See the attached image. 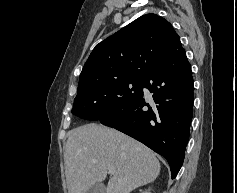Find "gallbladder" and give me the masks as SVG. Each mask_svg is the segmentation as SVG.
Segmentation results:
<instances>
[{"instance_id": "gallbladder-1", "label": "gallbladder", "mask_w": 237, "mask_h": 193, "mask_svg": "<svg viewBox=\"0 0 237 193\" xmlns=\"http://www.w3.org/2000/svg\"><path fill=\"white\" fill-rule=\"evenodd\" d=\"M85 193H106L105 186L101 183L92 185Z\"/></svg>"}]
</instances>
